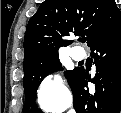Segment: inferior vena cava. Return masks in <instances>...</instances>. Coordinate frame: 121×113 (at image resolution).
Wrapping results in <instances>:
<instances>
[{"label": "inferior vena cava", "mask_w": 121, "mask_h": 113, "mask_svg": "<svg viewBox=\"0 0 121 113\" xmlns=\"http://www.w3.org/2000/svg\"><path fill=\"white\" fill-rule=\"evenodd\" d=\"M69 113H74V110H70Z\"/></svg>", "instance_id": "obj_1"}]
</instances>
